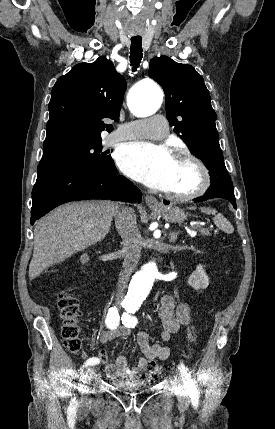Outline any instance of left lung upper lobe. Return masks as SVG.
I'll return each instance as SVG.
<instances>
[{
  "instance_id": "obj_1",
  "label": "left lung upper lobe",
  "mask_w": 275,
  "mask_h": 429,
  "mask_svg": "<svg viewBox=\"0 0 275 429\" xmlns=\"http://www.w3.org/2000/svg\"><path fill=\"white\" fill-rule=\"evenodd\" d=\"M149 76L162 86L169 123L191 153L205 163L211 184L232 186L219 145L216 113L201 75L191 65L161 56L150 61Z\"/></svg>"
}]
</instances>
